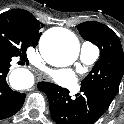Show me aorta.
<instances>
[{
	"mask_svg": "<svg viewBox=\"0 0 124 124\" xmlns=\"http://www.w3.org/2000/svg\"><path fill=\"white\" fill-rule=\"evenodd\" d=\"M39 50L42 57L51 65L64 67L72 64L79 55V41L77 37L66 29H49L40 38ZM23 69L12 72L11 82L13 78L19 77L18 85L24 87ZM22 73V74H21Z\"/></svg>",
	"mask_w": 124,
	"mask_h": 124,
	"instance_id": "762f6f07",
	"label": "aorta"
}]
</instances>
